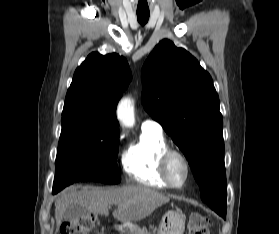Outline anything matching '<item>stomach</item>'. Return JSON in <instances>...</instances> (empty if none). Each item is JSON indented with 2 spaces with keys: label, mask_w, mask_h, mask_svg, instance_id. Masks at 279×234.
Segmentation results:
<instances>
[{
  "label": "stomach",
  "mask_w": 279,
  "mask_h": 234,
  "mask_svg": "<svg viewBox=\"0 0 279 234\" xmlns=\"http://www.w3.org/2000/svg\"><path fill=\"white\" fill-rule=\"evenodd\" d=\"M186 217L179 211H168L161 219L157 234H183ZM122 234H147L133 222L118 226Z\"/></svg>",
  "instance_id": "0dacf381"
}]
</instances>
